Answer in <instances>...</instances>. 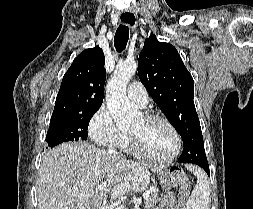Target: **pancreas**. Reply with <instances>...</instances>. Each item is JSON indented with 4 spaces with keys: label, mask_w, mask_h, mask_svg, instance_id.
<instances>
[{
    "label": "pancreas",
    "mask_w": 253,
    "mask_h": 209,
    "mask_svg": "<svg viewBox=\"0 0 253 209\" xmlns=\"http://www.w3.org/2000/svg\"><path fill=\"white\" fill-rule=\"evenodd\" d=\"M160 201L159 192L156 190L150 191V196L145 202V206L147 209L152 208L155 204Z\"/></svg>",
    "instance_id": "obj_1"
}]
</instances>
